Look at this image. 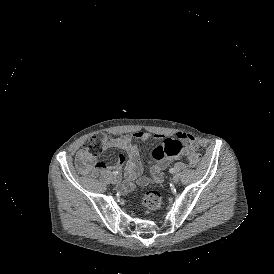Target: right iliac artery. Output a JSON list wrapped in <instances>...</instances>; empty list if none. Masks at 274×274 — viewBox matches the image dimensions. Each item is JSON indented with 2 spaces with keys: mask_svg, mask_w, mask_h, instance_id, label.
I'll list each match as a JSON object with an SVG mask.
<instances>
[{
  "mask_svg": "<svg viewBox=\"0 0 274 274\" xmlns=\"http://www.w3.org/2000/svg\"><path fill=\"white\" fill-rule=\"evenodd\" d=\"M113 175H118V171H113Z\"/></svg>",
  "mask_w": 274,
  "mask_h": 274,
  "instance_id": "right-iliac-artery-1",
  "label": "right iliac artery"
}]
</instances>
